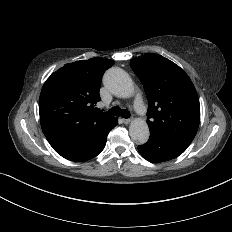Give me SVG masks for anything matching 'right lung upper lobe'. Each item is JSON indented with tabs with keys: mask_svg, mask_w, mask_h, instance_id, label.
<instances>
[{
	"mask_svg": "<svg viewBox=\"0 0 232 232\" xmlns=\"http://www.w3.org/2000/svg\"><path fill=\"white\" fill-rule=\"evenodd\" d=\"M113 60L95 57L66 64L44 83L40 99V122L48 137H71L114 117L98 111L102 76Z\"/></svg>",
	"mask_w": 232,
	"mask_h": 232,
	"instance_id": "obj_1",
	"label": "right lung upper lobe"
}]
</instances>
